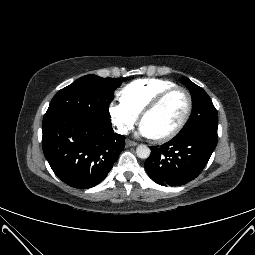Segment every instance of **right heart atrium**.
<instances>
[{
  "label": "right heart atrium",
  "instance_id": "right-heart-atrium-1",
  "mask_svg": "<svg viewBox=\"0 0 255 255\" xmlns=\"http://www.w3.org/2000/svg\"><path fill=\"white\" fill-rule=\"evenodd\" d=\"M108 110L113 125L123 135L128 134L139 120V114L121 99L112 101Z\"/></svg>",
  "mask_w": 255,
  "mask_h": 255
}]
</instances>
